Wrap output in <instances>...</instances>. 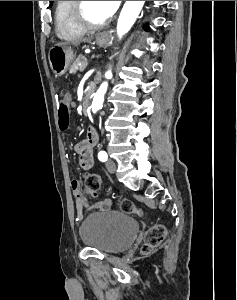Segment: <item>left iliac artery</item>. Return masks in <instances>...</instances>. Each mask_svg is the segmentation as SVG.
I'll list each match as a JSON object with an SVG mask.
<instances>
[{
  "instance_id": "obj_1",
  "label": "left iliac artery",
  "mask_w": 237,
  "mask_h": 300,
  "mask_svg": "<svg viewBox=\"0 0 237 300\" xmlns=\"http://www.w3.org/2000/svg\"><path fill=\"white\" fill-rule=\"evenodd\" d=\"M98 159H99L100 161H102V162H106L107 159H108L107 153H106L105 151H100V152L98 153Z\"/></svg>"
}]
</instances>
